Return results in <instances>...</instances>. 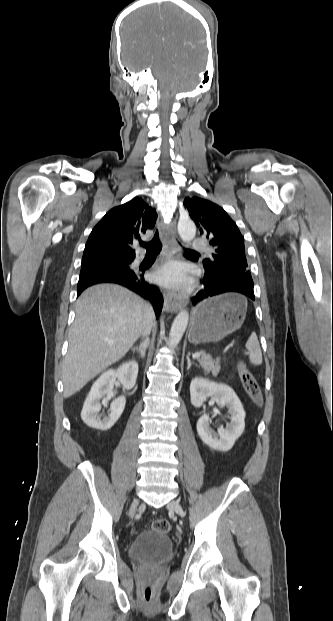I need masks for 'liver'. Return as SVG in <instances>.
<instances>
[{
  "label": "liver",
  "mask_w": 333,
  "mask_h": 621,
  "mask_svg": "<svg viewBox=\"0 0 333 621\" xmlns=\"http://www.w3.org/2000/svg\"><path fill=\"white\" fill-rule=\"evenodd\" d=\"M75 312L62 365L66 398L122 358L155 319L146 302L114 284L87 288L79 296Z\"/></svg>",
  "instance_id": "1"
}]
</instances>
